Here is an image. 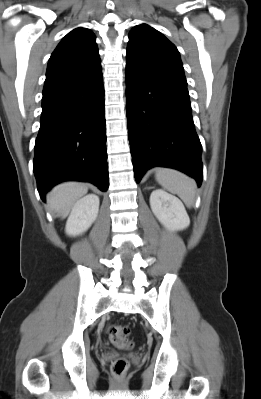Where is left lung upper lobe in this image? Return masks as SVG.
<instances>
[{"label": "left lung upper lobe", "instance_id": "1", "mask_svg": "<svg viewBox=\"0 0 261 399\" xmlns=\"http://www.w3.org/2000/svg\"><path fill=\"white\" fill-rule=\"evenodd\" d=\"M129 39L126 68L145 78L187 85L179 51L164 35L142 24L130 31Z\"/></svg>", "mask_w": 261, "mask_h": 399}]
</instances>
